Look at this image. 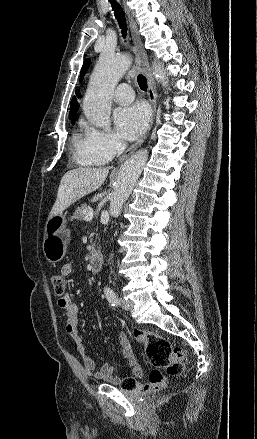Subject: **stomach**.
Here are the masks:
<instances>
[{"label": "stomach", "mask_w": 257, "mask_h": 439, "mask_svg": "<svg viewBox=\"0 0 257 439\" xmlns=\"http://www.w3.org/2000/svg\"><path fill=\"white\" fill-rule=\"evenodd\" d=\"M70 242V229L65 214L48 218L43 240V252L51 263L60 261L66 254Z\"/></svg>", "instance_id": "1"}]
</instances>
